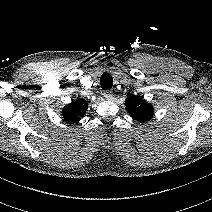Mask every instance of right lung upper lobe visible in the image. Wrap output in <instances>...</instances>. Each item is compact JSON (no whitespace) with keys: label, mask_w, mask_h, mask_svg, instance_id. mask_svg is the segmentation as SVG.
Returning <instances> with one entry per match:
<instances>
[{"label":"right lung upper lobe","mask_w":212,"mask_h":212,"mask_svg":"<svg viewBox=\"0 0 212 212\" xmlns=\"http://www.w3.org/2000/svg\"><path fill=\"white\" fill-rule=\"evenodd\" d=\"M87 108V102L85 100L78 99L64 107L62 110V116L64 120L69 123H78L81 120V117L85 114Z\"/></svg>","instance_id":"1"}]
</instances>
